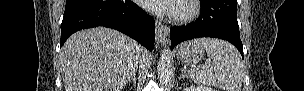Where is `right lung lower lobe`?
Instances as JSON below:
<instances>
[{"label": "right lung lower lobe", "mask_w": 304, "mask_h": 91, "mask_svg": "<svg viewBox=\"0 0 304 91\" xmlns=\"http://www.w3.org/2000/svg\"><path fill=\"white\" fill-rule=\"evenodd\" d=\"M98 26L116 29L149 50L154 47V19L130 0H67L60 47L74 32Z\"/></svg>", "instance_id": "obj_1"}]
</instances>
